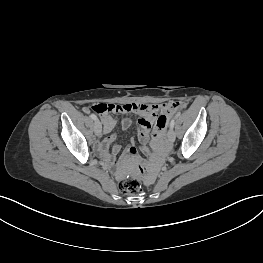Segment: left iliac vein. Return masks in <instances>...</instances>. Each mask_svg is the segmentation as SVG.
Segmentation results:
<instances>
[{"instance_id":"4c4485c4","label":"left iliac vein","mask_w":263,"mask_h":263,"mask_svg":"<svg viewBox=\"0 0 263 263\" xmlns=\"http://www.w3.org/2000/svg\"><path fill=\"white\" fill-rule=\"evenodd\" d=\"M175 137L176 135H175L174 130L170 128L168 131V140L172 143L175 141Z\"/></svg>"}]
</instances>
